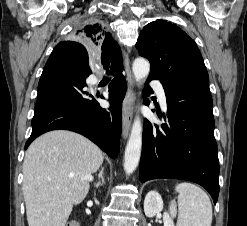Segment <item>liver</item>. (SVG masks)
Wrapping results in <instances>:
<instances>
[{
    "instance_id": "1",
    "label": "liver",
    "mask_w": 247,
    "mask_h": 226,
    "mask_svg": "<svg viewBox=\"0 0 247 226\" xmlns=\"http://www.w3.org/2000/svg\"><path fill=\"white\" fill-rule=\"evenodd\" d=\"M102 163V151L82 135L56 130L38 137L23 163L28 225L65 226Z\"/></svg>"
}]
</instances>
